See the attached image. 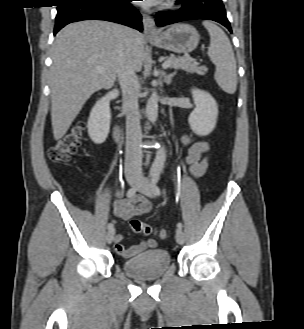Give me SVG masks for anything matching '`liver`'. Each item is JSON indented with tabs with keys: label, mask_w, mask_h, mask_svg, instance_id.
I'll list each match as a JSON object with an SVG mask.
<instances>
[{
	"label": "liver",
	"mask_w": 304,
	"mask_h": 329,
	"mask_svg": "<svg viewBox=\"0 0 304 329\" xmlns=\"http://www.w3.org/2000/svg\"><path fill=\"white\" fill-rule=\"evenodd\" d=\"M121 25L88 20L65 26L52 45L50 69L51 122L55 140L61 139L85 102L96 91L109 89L117 77ZM135 71L144 58V37L129 29ZM102 72H98V69Z\"/></svg>",
	"instance_id": "obj_1"
}]
</instances>
